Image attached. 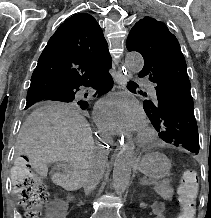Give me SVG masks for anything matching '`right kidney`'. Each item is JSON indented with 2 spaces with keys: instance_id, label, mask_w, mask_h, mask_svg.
I'll return each mask as SVG.
<instances>
[{
  "instance_id": "ca27d5eb",
  "label": "right kidney",
  "mask_w": 211,
  "mask_h": 218,
  "mask_svg": "<svg viewBox=\"0 0 211 218\" xmlns=\"http://www.w3.org/2000/svg\"><path fill=\"white\" fill-rule=\"evenodd\" d=\"M50 206H47V218H66L67 206H64V201H50Z\"/></svg>"
}]
</instances>
